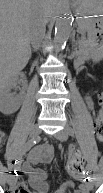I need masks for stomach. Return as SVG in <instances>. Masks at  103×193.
<instances>
[{"mask_svg":"<svg viewBox=\"0 0 103 193\" xmlns=\"http://www.w3.org/2000/svg\"><path fill=\"white\" fill-rule=\"evenodd\" d=\"M71 3L78 15H100L103 11V0H71Z\"/></svg>","mask_w":103,"mask_h":193,"instance_id":"1","label":"stomach"}]
</instances>
